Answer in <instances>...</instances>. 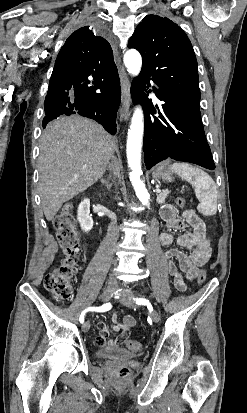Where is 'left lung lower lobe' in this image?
I'll list each match as a JSON object with an SVG mask.
<instances>
[{
  "mask_svg": "<svg viewBox=\"0 0 247 413\" xmlns=\"http://www.w3.org/2000/svg\"><path fill=\"white\" fill-rule=\"evenodd\" d=\"M150 80L158 86L156 80L142 73L131 86L133 97L140 98L145 114L143 151L146 168L172 158L214 170L215 164L201 121L200 102L158 86L153 87L161 102L156 105V110L151 99L142 93L151 86ZM156 111L158 116H150Z\"/></svg>",
  "mask_w": 247,
  "mask_h": 413,
  "instance_id": "0a47b994",
  "label": "left lung lower lobe"
}]
</instances>
